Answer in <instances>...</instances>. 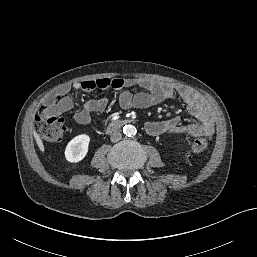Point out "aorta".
I'll return each instance as SVG.
<instances>
[{
  "label": "aorta",
  "mask_w": 257,
  "mask_h": 257,
  "mask_svg": "<svg viewBox=\"0 0 257 257\" xmlns=\"http://www.w3.org/2000/svg\"><path fill=\"white\" fill-rule=\"evenodd\" d=\"M123 132H124V134H125L126 136L131 137V136L136 135L137 129H136L135 126L129 124V125H125V126L123 127Z\"/></svg>",
  "instance_id": "aorta-1"
}]
</instances>
